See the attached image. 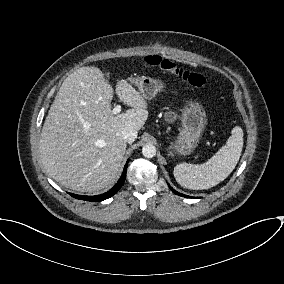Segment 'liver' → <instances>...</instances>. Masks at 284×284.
I'll return each mask as SVG.
<instances>
[{
  "mask_svg": "<svg viewBox=\"0 0 284 284\" xmlns=\"http://www.w3.org/2000/svg\"><path fill=\"white\" fill-rule=\"evenodd\" d=\"M131 107L114 115L113 88L96 67H81L62 83L45 119L39 149L48 174L80 192L107 190L118 180L126 141L122 130H140L148 118L147 102L127 80L115 86Z\"/></svg>",
  "mask_w": 284,
  "mask_h": 284,
  "instance_id": "1",
  "label": "liver"
}]
</instances>
